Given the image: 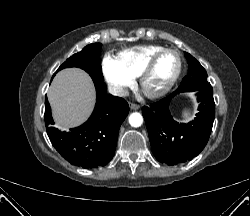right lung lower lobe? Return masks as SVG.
Returning a JSON list of instances; mask_svg holds the SVG:
<instances>
[{"label":"right lung lower lobe","mask_w":250,"mask_h":216,"mask_svg":"<svg viewBox=\"0 0 250 216\" xmlns=\"http://www.w3.org/2000/svg\"><path fill=\"white\" fill-rule=\"evenodd\" d=\"M97 101L95 109L83 125L61 132L52 127L54 121L47 98L45 124L54 148L71 164L96 168L109 163L114 156L119 128L129 113L128 103L107 94L104 82L94 81Z\"/></svg>","instance_id":"right-lung-lower-lobe-1"}]
</instances>
